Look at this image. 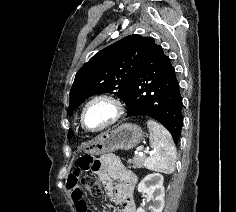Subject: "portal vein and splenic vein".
<instances>
[{
    "instance_id": "18ae733b",
    "label": "portal vein and splenic vein",
    "mask_w": 236,
    "mask_h": 212,
    "mask_svg": "<svg viewBox=\"0 0 236 212\" xmlns=\"http://www.w3.org/2000/svg\"><path fill=\"white\" fill-rule=\"evenodd\" d=\"M135 153L139 154L140 156H142L143 155V149L142 148H137ZM149 153H152V152H149Z\"/></svg>"
}]
</instances>
